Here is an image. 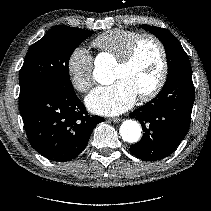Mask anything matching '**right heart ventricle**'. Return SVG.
<instances>
[{
	"mask_svg": "<svg viewBox=\"0 0 211 211\" xmlns=\"http://www.w3.org/2000/svg\"><path fill=\"white\" fill-rule=\"evenodd\" d=\"M141 34L125 29L108 30L96 37L92 45L103 53L118 60L126 52L130 44Z\"/></svg>",
	"mask_w": 211,
	"mask_h": 211,
	"instance_id": "right-heart-ventricle-1",
	"label": "right heart ventricle"
}]
</instances>
